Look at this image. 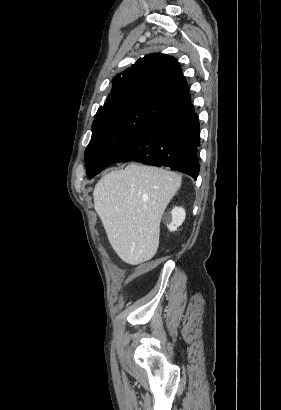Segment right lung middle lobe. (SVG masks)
<instances>
[{
    "mask_svg": "<svg viewBox=\"0 0 281 410\" xmlns=\"http://www.w3.org/2000/svg\"><path fill=\"white\" fill-rule=\"evenodd\" d=\"M163 110L145 103H131L97 111L92 138L85 151L88 178L113 163Z\"/></svg>",
    "mask_w": 281,
    "mask_h": 410,
    "instance_id": "right-lung-middle-lobe-1",
    "label": "right lung middle lobe"
}]
</instances>
